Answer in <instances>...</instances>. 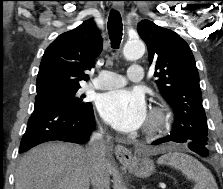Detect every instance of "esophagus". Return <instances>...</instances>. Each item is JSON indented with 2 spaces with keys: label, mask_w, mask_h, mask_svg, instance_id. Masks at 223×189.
Instances as JSON below:
<instances>
[{
  "label": "esophagus",
  "mask_w": 223,
  "mask_h": 189,
  "mask_svg": "<svg viewBox=\"0 0 223 189\" xmlns=\"http://www.w3.org/2000/svg\"><path fill=\"white\" fill-rule=\"evenodd\" d=\"M113 7L116 9V10H119V11H122L124 9V5L121 1H118L116 0L114 3H113ZM115 155L117 157V159L122 163V164H125V165H128L132 162L133 160V157H132V152L122 146V145H117L115 147Z\"/></svg>",
  "instance_id": "obj_1"
}]
</instances>
